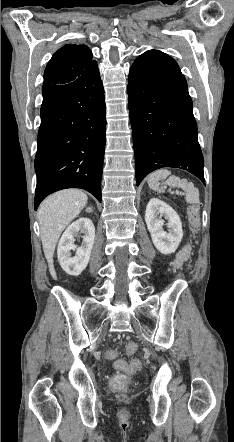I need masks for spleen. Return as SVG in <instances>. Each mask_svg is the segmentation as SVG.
Instances as JSON below:
<instances>
[{
    "label": "spleen",
    "instance_id": "obj_1",
    "mask_svg": "<svg viewBox=\"0 0 234 442\" xmlns=\"http://www.w3.org/2000/svg\"><path fill=\"white\" fill-rule=\"evenodd\" d=\"M165 180V184L173 188H181L186 192V202L194 204L199 202V190L194 187V184L188 182L186 179H180L179 177L172 175L167 169H159L148 176L149 187L159 193L164 192V188L160 187L159 180Z\"/></svg>",
    "mask_w": 234,
    "mask_h": 442
}]
</instances>
